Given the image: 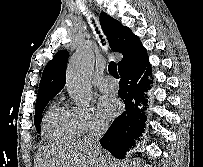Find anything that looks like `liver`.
Instances as JSON below:
<instances>
[{
  "instance_id": "liver-1",
  "label": "liver",
  "mask_w": 203,
  "mask_h": 167,
  "mask_svg": "<svg viewBox=\"0 0 203 167\" xmlns=\"http://www.w3.org/2000/svg\"><path fill=\"white\" fill-rule=\"evenodd\" d=\"M35 167H106L103 152L85 141H68L44 148L36 158Z\"/></svg>"
}]
</instances>
